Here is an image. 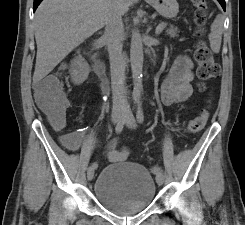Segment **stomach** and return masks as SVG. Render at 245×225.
I'll return each instance as SVG.
<instances>
[{
  "mask_svg": "<svg viewBox=\"0 0 245 225\" xmlns=\"http://www.w3.org/2000/svg\"><path fill=\"white\" fill-rule=\"evenodd\" d=\"M164 18H173L179 12L176 0H145Z\"/></svg>",
  "mask_w": 245,
  "mask_h": 225,
  "instance_id": "1",
  "label": "stomach"
}]
</instances>
